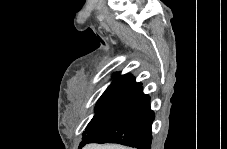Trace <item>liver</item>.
<instances>
[{"label": "liver", "mask_w": 227, "mask_h": 149, "mask_svg": "<svg viewBox=\"0 0 227 149\" xmlns=\"http://www.w3.org/2000/svg\"><path fill=\"white\" fill-rule=\"evenodd\" d=\"M85 149H126L123 146L120 145H97V144H91L85 146Z\"/></svg>", "instance_id": "1"}]
</instances>
